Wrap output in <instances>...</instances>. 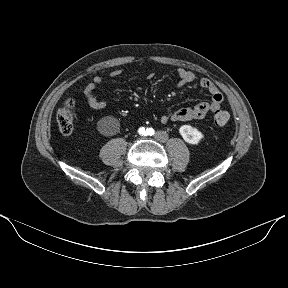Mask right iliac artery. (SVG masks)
Masks as SVG:
<instances>
[{"instance_id": "right-iliac-artery-1", "label": "right iliac artery", "mask_w": 288, "mask_h": 288, "mask_svg": "<svg viewBox=\"0 0 288 288\" xmlns=\"http://www.w3.org/2000/svg\"><path fill=\"white\" fill-rule=\"evenodd\" d=\"M147 131H148V129H147ZM139 133H140V134H143V133L145 134V133H146V132H145V128H144V127L140 128V129H139Z\"/></svg>"}]
</instances>
